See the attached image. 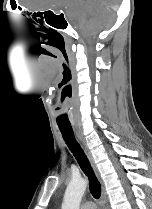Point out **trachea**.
Masks as SVG:
<instances>
[{
	"mask_svg": "<svg viewBox=\"0 0 152 209\" xmlns=\"http://www.w3.org/2000/svg\"><path fill=\"white\" fill-rule=\"evenodd\" d=\"M59 129L62 133L64 141L66 142L69 149L73 153L81 169L83 170V172L87 175L89 179V188H90L91 194L93 195L94 198H99L101 195L100 183L97 180L84 151L75 140L72 128L71 127H59Z\"/></svg>",
	"mask_w": 152,
	"mask_h": 209,
	"instance_id": "3493384b",
	"label": "trachea"
}]
</instances>
